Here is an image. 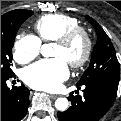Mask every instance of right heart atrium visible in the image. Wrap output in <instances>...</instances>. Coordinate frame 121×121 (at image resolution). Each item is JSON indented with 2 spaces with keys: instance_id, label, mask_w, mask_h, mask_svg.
Listing matches in <instances>:
<instances>
[{
  "instance_id": "right-heart-atrium-1",
  "label": "right heart atrium",
  "mask_w": 121,
  "mask_h": 121,
  "mask_svg": "<svg viewBox=\"0 0 121 121\" xmlns=\"http://www.w3.org/2000/svg\"><path fill=\"white\" fill-rule=\"evenodd\" d=\"M41 41L34 35H22L13 46L14 59L20 64H26L39 56Z\"/></svg>"
}]
</instances>
